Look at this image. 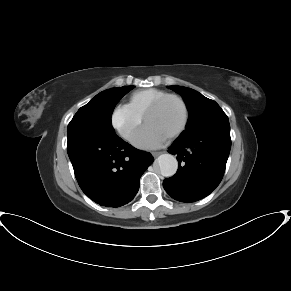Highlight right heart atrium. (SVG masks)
I'll return each instance as SVG.
<instances>
[{
  "label": "right heart atrium",
  "instance_id": "1",
  "mask_svg": "<svg viewBox=\"0 0 291 291\" xmlns=\"http://www.w3.org/2000/svg\"><path fill=\"white\" fill-rule=\"evenodd\" d=\"M143 117L134 111L129 104H118L111 114L112 127L118 134L130 141L142 123Z\"/></svg>",
  "mask_w": 291,
  "mask_h": 291
}]
</instances>
